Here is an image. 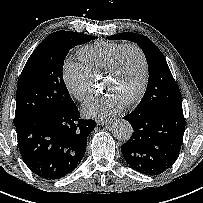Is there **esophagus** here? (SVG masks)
Segmentation results:
<instances>
[{
    "mask_svg": "<svg viewBox=\"0 0 203 203\" xmlns=\"http://www.w3.org/2000/svg\"><path fill=\"white\" fill-rule=\"evenodd\" d=\"M112 122V119H106V120H98L97 121V124L98 125H101V126H103V125H107V124H110Z\"/></svg>",
    "mask_w": 203,
    "mask_h": 203,
    "instance_id": "1",
    "label": "esophagus"
}]
</instances>
